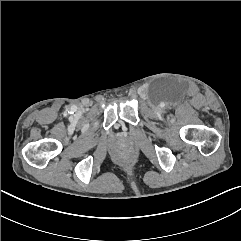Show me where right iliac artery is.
<instances>
[{
    "label": "right iliac artery",
    "instance_id": "1",
    "mask_svg": "<svg viewBox=\"0 0 241 241\" xmlns=\"http://www.w3.org/2000/svg\"><path fill=\"white\" fill-rule=\"evenodd\" d=\"M71 111L72 112L76 111V107H71Z\"/></svg>",
    "mask_w": 241,
    "mask_h": 241
}]
</instances>
